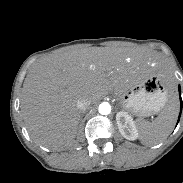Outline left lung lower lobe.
<instances>
[{
	"mask_svg": "<svg viewBox=\"0 0 183 183\" xmlns=\"http://www.w3.org/2000/svg\"><path fill=\"white\" fill-rule=\"evenodd\" d=\"M179 95H180V101H181L180 114H179V119H180V115H181V111H182V99H181V89H180V86H179ZM179 119H178V121H179Z\"/></svg>",
	"mask_w": 183,
	"mask_h": 183,
	"instance_id": "1",
	"label": "left lung lower lobe"
}]
</instances>
